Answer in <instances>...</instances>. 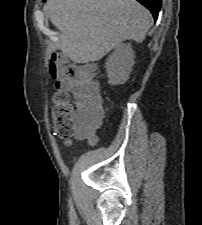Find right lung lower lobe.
<instances>
[{
  "mask_svg": "<svg viewBox=\"0 0 202 225\" xmlns=\"http://www.w3.org/2000/svg\"><path fill=\"white\" fill-rule=\"evenodd\" d=\"M146 8H148L154 16V19H157L158 13L161 8V0H137Z\"/></svg>",
  "mask_w": 202,
  "mask_h": 225,
  "instance_id": "1",
  "label": "right lung lower lobe"
}]
</instances>
